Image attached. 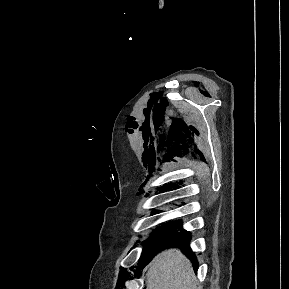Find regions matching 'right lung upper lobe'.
<instances>
[{
	"mask_svg": "<svg viewBox=\"0 0 289 289\" xmlns=\"http://www.w3.org/2000/svg\"><path fill=\"white\" fill-rule=\"evenodd\" d=\"M164 188H165V190H171V189H172V186H171V185H168V186H165ZM165 190H163V191H165Z\"/></svg>",
	"mask_w": 289,
	"mask_h": 289,
	"instance_id": "obj_1",
	"label": "right lung upper lobe"
}]
</instances>
